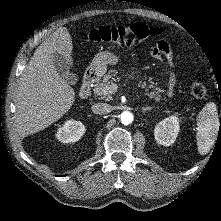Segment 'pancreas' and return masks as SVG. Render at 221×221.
<instances>
[{
	"label": "pancreas",
	"mask_w": 221,
	"mask_h": 221,
	"mask_svg": "<svg viewBox=\"0 0 221 221\" xmlns=\"http://www.w3.org/2000/svg\"><path fill=\"white\" fill-rule=\"evenodd\" d=\"M118 74V72L116 71H111L109 72V74L104 75L102 82H98L95 87H94V94L96 96H101L102 99H105L107 101L111 100V95L113 94V92L110 89L111 84H113V81H117L118 78H113V76H116ZM132 77L135 79H139V76L135 77L132 74ZM149 82L151 83L148 87H146V82H142L140 81L138 84V87H146V91H147V95L150 98H153L156 101L159 100H164V98H162L161 93H164L165 90L160 89L158 87L155 86V84L152 82V79L149 78Z\"/></svg>",
	"instance_id": "cf45deb5"
}]
</instances>
